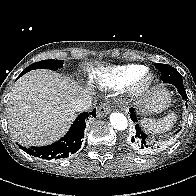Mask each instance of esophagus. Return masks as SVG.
<instances>
[{
  "label": "esophagus",
  "mask_w": 196,
  "mask_h": 196,
  "mask_svg": "<svg viewBox=\"0 0 196 196\" xmlns=\"http://www.w3.org/2000/svg\"><path fill=\"white\" fill-rule=\"evenodd\" d=\"M111 112V109L108 105L106 104H101L99 107H98V114L99 116H104L108 113Z\"/></svg>",
  "instance_id": "34e87169"
}]
</instances>
